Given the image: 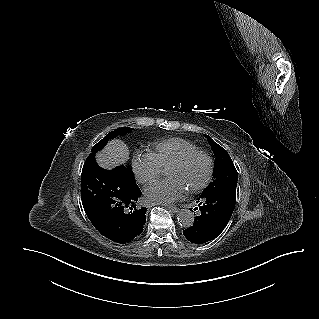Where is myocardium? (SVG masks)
<instances>
[{"instance_id":"f54148a6","label":"myocardium","mask_w":319,"mask_h":319,"mask_svg":"<svg viewBox=\"0 0 319 319\" xmlns=\"http://www.w3.org/2000/svg\"><path fill=\"white\" fill-rule=\"evenodd\" d=\"M195 156H203L206 159L208 169H207V174H206L204 180L200 184H198L197 186L189 189V191L192 192V193H196L198 191H201L205 187H207L208 184L210 183L212 177H213L214 162H213V159L210 156V154L208 152L204 151V150H201V149L191 150V151H188V152L184 153L182 156H180L178 159L173 161L167 167V168H171V167L182 166V165L187 163L190 159H192Z\"/></svg>"}]
</instances>
